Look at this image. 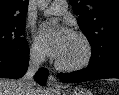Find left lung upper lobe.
Here are the masks:
<instances>
[{
    "mask_svg": "<svg viewBox=\"0 0 119 95\" xmlns=\"http://www.w3.org/2000/svg\"><path fill=\"white\" fill-rule=\"evenodd\" d=\"M70 3L92 47L90 62L106 63L119 52V0H70Z\"/></svg>",
    "mask_w": 119,
    "mask_h": 95,
    "instance_id": "obj_1",
    "label": "left lung upper lobe"
}]
</instances>
